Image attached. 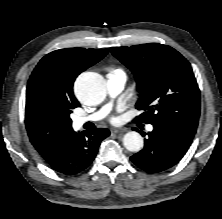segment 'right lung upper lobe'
Here are the masks:
<instances>
[{
    "label": "right lung upper lobe",
    "instance_id": "obj_1",
    "mask_svg": "<svg viewBox=\"0 0 222 219\" xmlns=\"http://www.w3.org/2000/svg\"><path fill=\"white\" fill-rule=\"evenodd\" d=\"M107 52L84 48L56 50L44 56L32 72L27 85L25 124L31 143L48 163L57 157L74 130L70 118L44 109L42 93L37 88L39 78H47L44 92L48 98L58 103L79 104L72 89L76 77Z\"/></svg>",
    "mask_w": 222,
    "mask_h": 219
}]
</instances>
